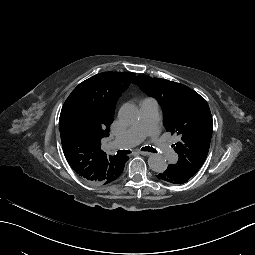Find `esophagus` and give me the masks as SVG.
<instances>
[{
    "mask_svg": "<svg viewBox=\"0 0 255 255\" xmlns=\"http://www.w3.org/2000/svg\"><path fill=\"white\" fill-rule=\"evenodd\" d=\"M141 155H144V156H149V155H151L152 153H150V152H144V151H140L139 152Z\"/></svg>",
    "mask_w": 255,
    "mask_h": 255,
    "instance_id": "esophagus-1",
    "label": "esophagus"
}]
</instances>
